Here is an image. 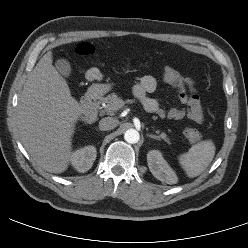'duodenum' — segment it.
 I'll return each mask as SVG.
<instances>
[{"mask_svg": "<svg viewBox=\"0 0 248 248\" xmlns=\"http://www.w3.org/2000/svg\"><path fill=\"white\" fill-rule=\"evenodd\" d=\"M101 95L98 91H90L82 103L83 120L92 122L96 118L97 110L101 103Z\"/></svg>", "mask_w": 248, "mask_h": 248, "instance_id": "duodenum-1", "label": "duodenum"}]
</instances>
